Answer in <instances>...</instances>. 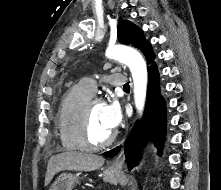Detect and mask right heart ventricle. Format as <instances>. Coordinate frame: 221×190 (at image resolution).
Listing matches in <instances>:
<instances>
[{
  "label": "right heart ventricle",
  "instance_id": "right-heart-ventricle-1",
  "mask_svg": "<svg viewBox=\"0 0 221 190\" xmlns=\"http://www.w3.org/2000/svg\"><path fill=\"white\" fill-rule=\"evenodd\" d=\"M93 96L81 84L69 89L57 113V130L65 151L84 150L79 138V119L83 105Z\"/></svg>",
  "mask_w": 221,
  "mask_h": 190
}]
</instances>
